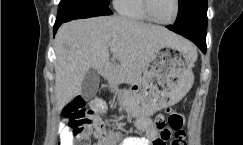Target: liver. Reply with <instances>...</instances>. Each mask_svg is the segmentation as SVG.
<instances>
[{
  "mask_svg": "<svg viewBox=\"0 0 243 145\" xmlns=\"http://www.w3.org/2000/svg\"><path fill=\"white\" fill-rule=\"evenodd\" d=\"M110 51L121 65L139 73L162 47L185 50L190 43L161 26L120 16H100L63 24L55 38V96L61 110L81 94L82 82L91 68L109 64Z\"/></svg>",
  "mask_w": 243,
  "mask_h": 145,
  "instance_id": "6515ba94",
  "label": "liver"
}]
</instances>
